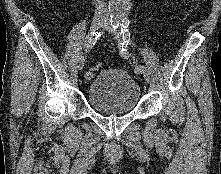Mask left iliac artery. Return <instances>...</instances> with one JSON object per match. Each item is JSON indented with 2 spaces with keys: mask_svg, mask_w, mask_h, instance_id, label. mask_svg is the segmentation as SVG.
Masks as SVG:
<instances>
[{
  "mask_svg": "<svg viewBox=\"0 0 221 174\" xmlns=\"http://www.w3.org/2000/svg\"><path fill=\"white\" fill-rule=\"evenodd\" d=\"M111 25L113 29H116L117 27L121 28V35H122V48L120 50V56L124 59H127L129 57V52L127 50V45L131 41L130 32H129V20L127 18H123L119 21H113L111 22ZM142 67H137L136 72L140 73Z\"/></svg>",
  "mask_w": 221,
  "mask_h": 174,
  "instance_id": "1",
  "label": "left iliac artery"
}]
</instances>
